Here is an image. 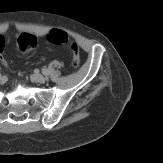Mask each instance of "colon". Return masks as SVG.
Masks as SVG:
<instances>
[{
	"label": "colon",
	"instance_id": "5ec220e1",
	"mask_svg": "<svg viewBox=\"0 0 163 163\" xmlns=\"http://www.w3.org/2000/svg\"><path fill=\"white\" fill-rule=\"evenodd\" d=\"M47 40L55 45L59 46H69L72 54V64L74 67H78L80 64V53L78 45L71 41L64 31L60 29H53L48 32ZM37 38L29 33H23L18 37L17 40V48L21 53H27L34 49L37 46ZM5 47V41L2 37H0V61H4L3 59V51Z\"/></svg>",
	"mask_w": 163,
	"mask_h": 163
}]
</instances>
